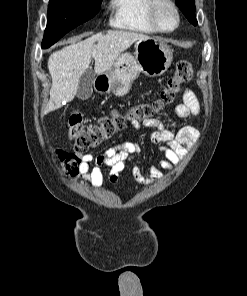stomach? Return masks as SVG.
<instances>
[{
    "label": "stomach",
    "instance_id": "obj_1",
    "mask_svg": "<svg viewBox=\"0 0 247 296\" xmlns=\"http://www.w3.org/2000/svg\"><path fill=\"white\" fill-rule=\"evenodd\" d=\"M134 54L120 55L109 70L99 74L95 79L96 90L123 96L129 92L140 72L148 77L161 76L173 60L171 47L154 37L137 41Z\"/></svg>",
    "mask_w": 247,
    "mask_h": 296
}]
</instances>
